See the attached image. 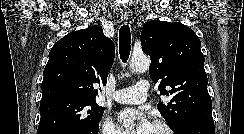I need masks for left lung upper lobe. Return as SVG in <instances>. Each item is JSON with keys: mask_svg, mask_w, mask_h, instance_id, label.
I'll list each match as a JSON object with an SVG mask.
<instances>
[{"mask_svg": "<svg viewBox=\"0 0 244 134\" xmlns=\"http://www.w3.org/2000/svg\"><path fill=\"white\" fill-rule=\"evenodd\" d=\"M141 44L150 55L151 79L170 99L157 108L173 132L191 119L213 121L205 59L194 31L178 22L152 20L142 29Z\"/></svg>", "mask_w": 244, "mask_h": 134, "instance_id": "obj_1", "label": "left lung upper lobe"}]
</instances>
